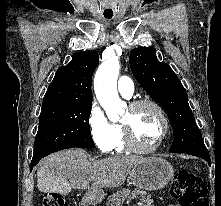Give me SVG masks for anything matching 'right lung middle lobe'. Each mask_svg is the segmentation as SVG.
<instances>
[{"mask_svg":"<svg viewBox=\"0 0 221 206\" xmlns=\"http://www.w3.org/2000/svg\"><path fill=\"white\" fill-rule=\"evenodd\" d=\"M92 105L41 110L33 158L75 147L94 148L89 129Z\"/></svg>","mask_w":221,"mask_h":206,"instance_id":"dd1d6c3e","label":"right lung middle lobe"}]
</instances>
